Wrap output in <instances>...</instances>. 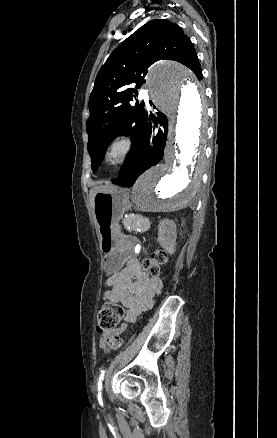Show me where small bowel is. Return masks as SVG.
<instances>
[{"mask_svg": "<svg viewBox=\"0 0 277 438\" xmlns=\"http://www.w3.org/2000/svg\"><path fill=\"white\" fill-rule=\"evenodd\" d=\"M137 253V248L129 247L124 267L107 280L110 289L104 296L111 302L123 305L125 323L102 336L100 340L102 348L107 347L113 337L119 336L124 331L126 323L134 322L143 311L151 308L155 297L161 291L162 281L143 270L136 256Z\"/></svg>", "mask_w": 277, "mask_h": 438, "instance_id": "obj_1", "label": "small bowel"}]
</instances>
